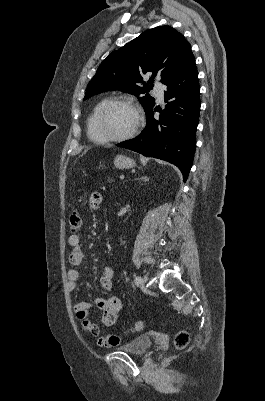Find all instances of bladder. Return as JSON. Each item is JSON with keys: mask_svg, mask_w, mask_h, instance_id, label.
Wrapping results in <instances>:
<instances>
[{"mask_svg": "<svg viewBox=\"0 0 265 401\" xmlns=\"http://www.w3.org/2000/svg\"><path fill=\"white\" fill-rule=\"evenodd\" d=\"M153 345V340L147 336L135 337L131 342L118 347L133 355H143Z\"/></svg>", "mask_w": 265, "mask_h": 401, "instance_id": "obj_1", "label": "bladder"}]
</instances>
